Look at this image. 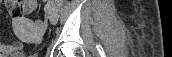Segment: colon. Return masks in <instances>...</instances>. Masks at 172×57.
<instances>
[{
	"mask_svg": "<svg viewBox=\"0 0 172 57\" xmlns=\"http://www.w3.org/2000/svg\"><path fill=\"white\" fill-rule=\"evenodd\" d=\"M16 13H17V11H15V10L11 12L12 16H14ZM37 23H38V25L41 26V27L44 26V22L41 21V20H38Z\"/></svg>",
	"mask_w": 172,
	"mask_h": 57,
	"instance_id": "colon-1",
	"label": "colon"
}]
</instances>
